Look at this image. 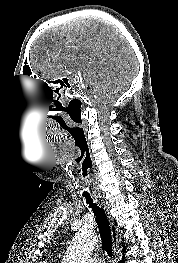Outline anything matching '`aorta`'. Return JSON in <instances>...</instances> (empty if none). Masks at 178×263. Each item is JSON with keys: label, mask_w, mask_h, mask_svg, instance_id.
Masks as SVG:
<instances>
[{"label": "aorta", "mask_w": 178, "mask_h": 263, "mask_svg": "<svg viewBox=\"0 0 178 263\" xmlns=\"http://www.w3.org/2000/svg\"><path fill=\"white\" fill-rule=\"evenodd\" d=\"M96 244L94 232L82 229L73 237L61 263H86Z\"/></svg>", "instance_id": "1"}]
</instances>
